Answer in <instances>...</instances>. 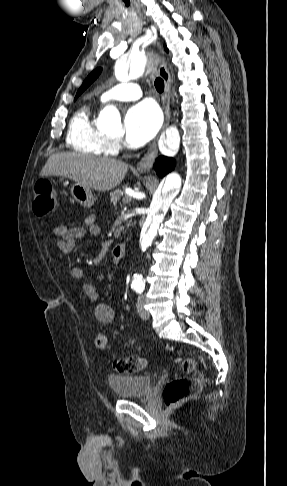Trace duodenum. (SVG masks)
<instances>
[{
    "label": "duodenum",
    "mask_w": 287,
    "mask_h": 486,
    "mask_svg": "<svg viewBox=\"0 0 287 486\" xmlns=\"http://www.w3.org/2000/svg\"><path fill=\"white\" fill-rule=\"evenodd\" d=\"M127 252V245L125 243H119L115 246L113 255L116 259L121 260L124 258Z\"/></svg>",
    "instance_id": "duodenum-1"
}]
</instances>
